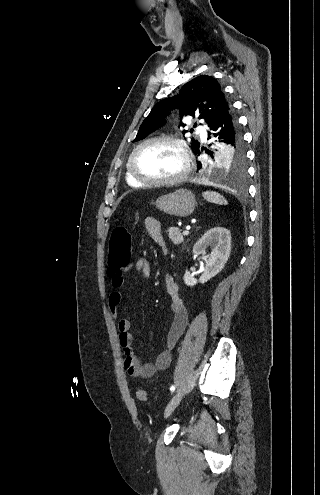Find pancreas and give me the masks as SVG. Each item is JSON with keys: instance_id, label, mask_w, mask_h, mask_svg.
<instances>
[{"instance_id": "obj_1", "label": "pancreas", "mask_w": 320, "mask_h": 495, "mask_svg": "<svg viewBox=\"0 0 320 495\" xmlns=\"http://www.w3.org/2000/svg\"><path fill=\"white\" fill-rule=\"evenodd\" d=\"M169 239L175 244L179 245L183 243L184 238L178 227H170L167 230Z\"/></svg>"}]
</instances>
